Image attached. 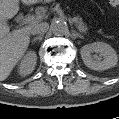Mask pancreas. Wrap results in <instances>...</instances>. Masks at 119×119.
<instances>
[{
	"label": "pancreas",
	"instance_id": "pancreas-1",
	"mask_svg": "<svg viewBox=\"0 0 119 119\" xmlns=\"http://www.w3.org/2000/svg\"><path fill=\"white\" fill-rule=\"evenodd\" d=\"M76 24V27L78 28V30L80 32H83V33H86L87 32V26L82 22V19L81 18H75L73 20Z\"/></svg>",
	"mask_w": 119,
	"mask_h": 119
}]
</instances>
